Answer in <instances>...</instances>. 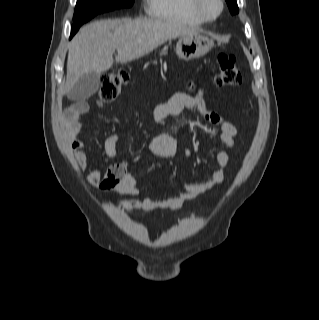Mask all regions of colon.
I'll return each instance as SVG.
<instances>
[{
  "label": "colon",
  "mask_w": 319,
  "mask_h": 320,
  "mask_svg": "<svg viewBox=\"0 0 319 320\" xmlns=\"http://www.w3.org/2000/svg\"><path fill=\"white\" fill-rule=\"evenodd\" d=\"M219 72L215 77L216 85L220 87L236 86L241 82V73L235 64V59L232 55L219 53L217 57ZM130 75L128 71L119 69L113 71L102 78L99 101L100 103H111L120 95L123 87L129 82ZM123 169L121 163L112 165L109 176H112L114 171Z\"/></svg>",
  "instance_id": "obj_1"
}]
</instances>
